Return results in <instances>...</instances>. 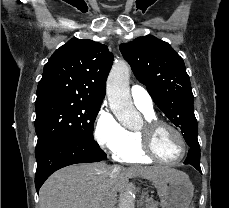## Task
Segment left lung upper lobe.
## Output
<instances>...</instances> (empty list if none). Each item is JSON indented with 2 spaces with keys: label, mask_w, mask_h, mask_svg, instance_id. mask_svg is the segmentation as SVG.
Listing matches in <instances>:
<instances>
[{
  "label": "left lung upper lobe",
  "mask_w": 229,
  "mask_h": 208,
  "mask_svg": "<svg viewBox=\"0 0 229 208\" xmlns=\"http://www.w3.org/2000/svg\"><path fill=\"white\" fill-rule=\"evenodd\" d=\"M120 51L169 120L180 127L183 134L198 132L190 79L183 59L174 49L147 35L121 44Z\"/></svg>",
  "instance_id": "1"
}]
</instances>
